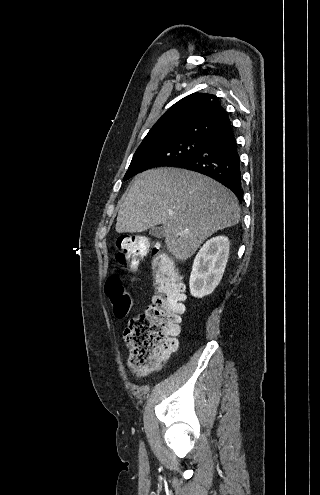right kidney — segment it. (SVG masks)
I'll list each match as a JSON object with an SVG mask.
<instances>
[{
  "label": "right kidney",
  "mask_w": 320,
  "mask_h": 495,
  "mask_svg": "<svg viewBox=\"0 0 320 495\" xmlns=\"http://www.w3.org/2000/svg\"><path fill=\"white\" fill-rule=\"evenodd\" d=\"M229 256V240L225 236L211 238L197 253L189 280L195 298L211 294L220 283Z\"/></svg>",
  "instance_id": "right-kidney-1"
}]
</instances>
